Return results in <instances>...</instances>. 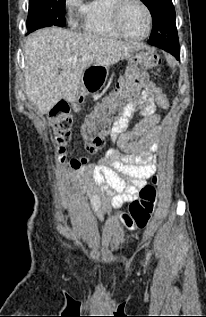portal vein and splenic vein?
I'll use <instances>...</instances> for the list:
<instances>
[{"label": "portal vein and splenic vein", "mask_w": 206, "mask_h": 317, "mask_svg": "<svg viewBox=\"0 0 206 317\" xmlns=\"http://www.w3.org/2000/svg\"><path fill=\"white\" fill-rule=\"evenodd\" d=\"M69 60H70V61H76L77 58H76V57H71V58H69Z\"/></svg>", "instance_id": "obj_1"}]
</instances>
